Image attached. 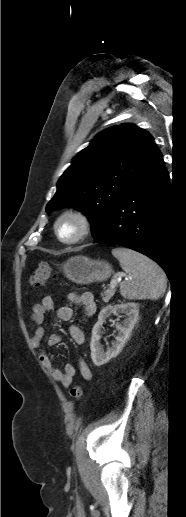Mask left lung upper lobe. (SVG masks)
Masks as SVG:
<instances>
[{
  "instance_id": "5c2ea615",
  "label": "left lung upper lobe",
  "mask_w": 186,
  "mask_h": 517,
  "mask_svg": "<svg viewBox=\"0 0 186 517\" xmlns=\"http://www.w3.org/2000/svg\"><path fill=\"white\" fill-rule=\"evenodd\" d=\"M159 153L151 135L134 125L100 132L63 173L46 211L65 206L83 211L95 238L113 207Z\"/></svg>"
}]
</instances>
